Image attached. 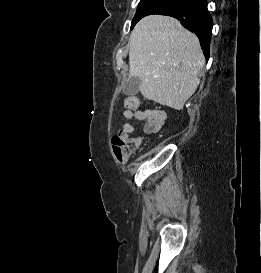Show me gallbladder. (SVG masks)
Wrapping results in <instances>:
<instances>
[{"mask_svg":"<svg viewBox=\"0 0 261 273\" xmlns=\"http://www.w3.org/2000/svg\"><path fill=\"white\" fill-rule=\"evenodd\" d=\"M141 81L138 77L131 76L123 87V92L127 96H134L139 92Z\"/></svg>","mask_w":261,"mask_h":273,"instance_id":"gallbladder-1","label":"gallbladder"}]
</instances>
